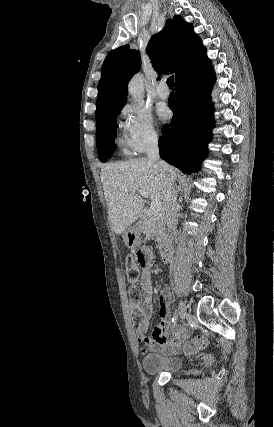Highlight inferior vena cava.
I'll return each mask as SVG.
<instances>
[{"mask_svg":"<svg viewBox=\"0 0 274 427\" xmlns=\"http://www.w3.org/2000/svg\"><path fill=\"white\" fill-rule=\"evenodd\" d=\"M146 154L148 156V160H154V162H159L160 156L157 136H151V138H148L146 142ZM160 168L161 172H170V168L169 166H166V164H161ZM164 196V206L167 217L166 223L168 227V241L169 243H172L173 233L177 225V215L179 208V204L177 202V194L174 188V182L167 186Z\"/></svg>","mask_w":274,"mask_h":427,"instance_id":"1","label":"inferior vena cava"}]
</instances>
